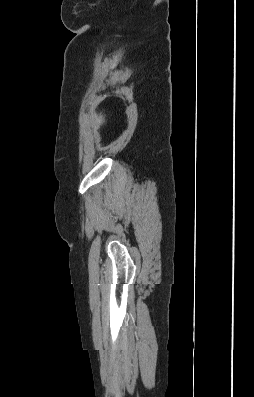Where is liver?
<instances>
[{"label":"liver","instance_id":"6515ba94","mask_svg":"<svg viewBox=\"0 0 254 397\" xmlns=\"http://www.w3.org/2000/svg\"><path fill=\"white\" fill-rule=\"evenodd\" d=\"M105 122L104 116L99 114L96 116V124L101 125Z\"/></svg>","mask_w":254,"mask_h":397}]
</instances>
